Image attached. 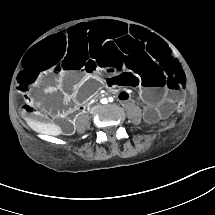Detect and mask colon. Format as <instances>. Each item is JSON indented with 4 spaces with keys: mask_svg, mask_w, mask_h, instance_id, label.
I'll use <instances>...</instances> for the list:
<instances>
[{
    "mask_svg": "<svg viewBox=\"0 0 215 215\" xmlns=\"http://www.w3.org/2000/svg\"><path fill=\"white\" fill-rule=\"evenodd\" d=\"M35 102L42 105V103L38 100H35ZM36 109H37V107L35 105H30V104L23 105V110L27 114L34 113L36 111Z\"/></svg>",
    "mask_w": 215,
    "mask_h": 215,
    "instance_id": "1",
    "label": "colon"
}]
</instances>
